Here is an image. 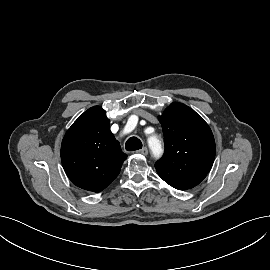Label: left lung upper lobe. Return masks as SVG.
Listing matches in <instances>:
<instances>
[{"instance_id": "obj_1", "label": "left lung upper lobe", "mask_w": 270, "mask_h": 270, "mask_svg": "<svg viewBox=\"0 0 270 270\" xmlns=\"http://www.w3.org/2000/svg\"><path fill=\"white\" fill-rule=\"evenodd\" d=\"M165 152L155 163L170 186L186 190L198 185L210 171L216 147L208 124L190 107L173 102L159 116Z\"/></svg>"}]
</instances>
